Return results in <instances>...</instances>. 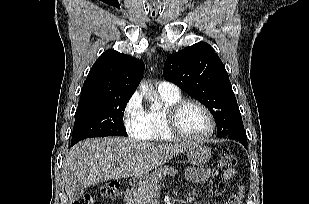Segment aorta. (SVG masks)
Returning a JSON list of instances; mask_svg holds the SVG:
<instances>
[{"instance_id": "obj_1", "label": "aorta", "mask_w": 309, "mask_h": 204, "mask_svg": "<svg viewBox=\"0 0 309 204\" xmlns=\"http://www.w3.org/2000/svg\"><path fill=\"white\" fill-rule=\"evenodd\" d=\"M140 90H141V95L145 96L146 99H149L152 101L151 105L153 108L155 109L160 108L161 106L160 103L153 99V97L151 96V90L145 84L140 85Z\"/></svg>"}]
</instances>
